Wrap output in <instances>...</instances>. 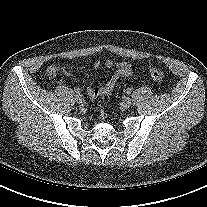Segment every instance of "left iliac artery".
<instances>
[{
  "mask_svg": "<svg viewBox=\"0 0 207 207\" xmlns=\"http://www.w3.org/2000/svg\"><path fill=\"white\" fill-rule=\"evenodd\" d=\"M131 92H132V89L131 88L126 89V93L127 94H130Z\"/></svg>",
  "mask_w": 207,
  "mask_h": 207,
  "instance_id": "1",
  "label": "left iliac artery"
}]
</instances>
